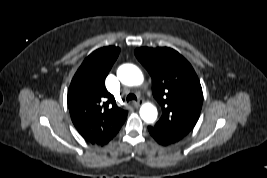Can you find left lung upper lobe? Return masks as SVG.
Returning a JSON list of instances; mask_svg holds the SVG:
<instances>
[{"instance_id":"left-lung-upper-lobe-1","label":"left lung upper lobe","mask_w":267,"mask_h":178,"mask_svg":"<svg viewBox=\"0 0 267 178\" xmlns=\"http://www.w3.org/2000/svg\"><path fill=\"white\" fill-rule=\"evenodd\" d=\"M134 53L151 75L153 96L162 108L160 120L151 127L174 143L180 141L196 125L203 103L194 69L180 53L168 47H142Z\"/></svg>"}]
</instances>
